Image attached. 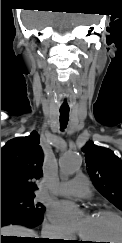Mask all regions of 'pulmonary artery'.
<instances>
[{
  "label": "pulmonary artery",
  "instance_id": "obj_1",
  "mask_svg": "<svg viewBox=\"0 0 122 243\" xmlns=\"http://www.w3.org/2000/svg\"><path fill=\"white\" fill-rule=\"evenodd\" d=\"M58 194L88 197L91 194L90 185L84 175L78 174L74 179L60 184Z\"/></svg>",
  "mask_w": 122,
  "mask_h": 243
}]
</instances>
